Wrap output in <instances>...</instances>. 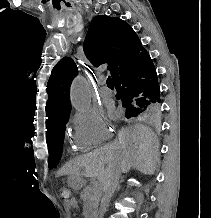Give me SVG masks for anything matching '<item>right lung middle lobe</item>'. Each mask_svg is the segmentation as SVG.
Listing matches in <instances>:
<instances>
[{
	"mask_svg": "<svg viewBox=\"0 0 211 218\" xmlns=\"http://www.w3.org/2000/svg\"><path fill=\"white\" fill-rule=\"evenodd\" d=\"M122 107L126 110V117H136L142 113H156L160 110L161 101L148 102L138 98L119 97ZM69 119V114L62 117L54 124L52 130L46 135V141L49 150V169H53L60 161L63 149V141L65 134V125Z\"/></svg>",
	"mask_w": 211,
	"mask_h": 218,
	"instance_id": "dd1d6c3e",
	"label": "right lung middle lobe"
}]
</instances>
